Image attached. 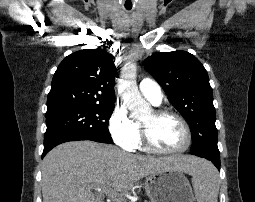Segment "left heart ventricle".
I'll list each match as a JSON object with an SVG mask.
<instances>
[{
  "label": "left heart ventricle",
  "mask_w": 255,
  "mask_h": 202,
  "mask_svg": "<svg viewBox=\"0 0 255 202\" xmlns=\"http://www.w3.org/2000/svg\"><path fill=\"white\" fill-rule=\"evenodd\" d=\"M150 130V136L155 144L163 150H176L185 143V132L181 123L174 117L155 118L150 112L142 119Z\"/></svg>",
  "instance_id": "obj_1"
}]
</instances>
